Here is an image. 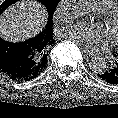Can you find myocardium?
I'll use <instances>...</instances> for the list:
<instances>
[{"mask_svg":"<svg viewBox=\"0 0 118 118\" xmlns=\"http://www.w3.org/2000/svg\"><path fill=\"white\" fill-rule=\"evenodd\" d=\"M103 20L107 25H112L118 20V5L112 7L102 15ZM114 45H118V37L113 41Z\"/></svg>","mask_w":118,"mask_h":118,"instance_id":"obj_1","label":"myocardium"}]
</instances>
